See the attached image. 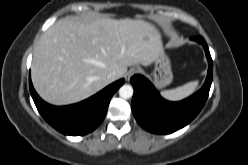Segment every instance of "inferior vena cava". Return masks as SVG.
I'll list each match as a JSON object with an SVG mask.
<instances>
[{
	"instance_id": "1",
	"label": "inferior vena cava",
	"mask_w": 248,
	"mask_h": 165,
	"mask_svg": "<svg viewBox=\"0 0 248 165\" xmlns=\"http://www.w3.org/2000/svg\"><path fill=\"white\" fill-rule=\"evenodd\" d=\"M118 77H119V74H118V72H116V71H111V72L107 75V78H108L111 82H113V81H115L116 79H118Z\"/></svg>"
}]
</instances>
